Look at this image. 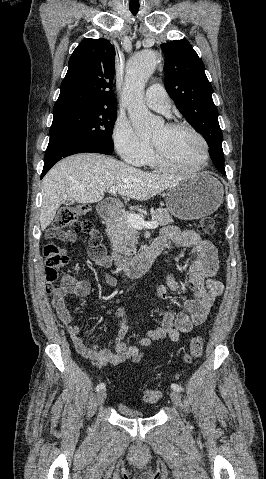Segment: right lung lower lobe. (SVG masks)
<instances>
[{
	"instance_id": "right-lung-lower-lobe-1",
	"label": "right lung lower lobe",
	"mask_w": 266,
	"mask_h": 479,
	"mask_svg": "<svg viewBox=\"0 0 266 479\" xmlns=\"http://www.w3.org/2000/svg\"><path fill=\"white\" fill-rule=\"evenodd\" d=\"M113 150L90 142L78 141L68 138L51 137L45 154V163L41 178L60 159L72 154L82 152L102 153L111 155Z\"/></svg>"
}]
</instances>
